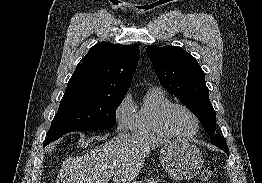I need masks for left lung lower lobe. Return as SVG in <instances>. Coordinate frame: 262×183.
Listing matches in <instances>:
<instances>
[{
    "mask_svg": "<svg viewBox=\"0 0 262 183\" xmlns=\"http://www.w3.org/2000/svg\"><path fill=\"white\" fill-rule=\"evenodd\" d=\"M217 147L221 148L223 151H225L229 155L228 147L226 146H217Z\"/></svg>",
    "mask_w": 262,
    "mask_h": 183,
    "instance_id": "0a47b994",
    "label": "left lung lower lobe"
}]
</instances>
